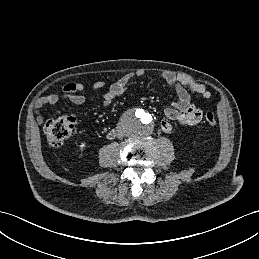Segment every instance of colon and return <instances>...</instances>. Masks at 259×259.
I'll use <instances>...</instances> for the list:
<instances>
[{"mask_svg":"<svg viewBox=\"0 0 259 259\" xmlns=\"http://www.w3.org/2000/svg\"><path fill=\"white\" fill-rule=\"evenodd\" d=\"M208 127L213 128L217 124L216 116L213 112H207L204 117ZM75 118L72 116H64L48 120L43 132L49 145L58 147L73 133L75 128Z\"/></svg>","mask_w":259,"mask_h":259,"instance_id":"5ec220e1","label":"colon"}]
</instances>
